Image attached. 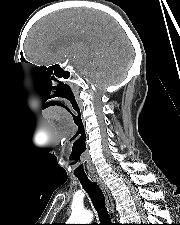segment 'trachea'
<instances>
[{
    "label": "trachea",
    "instance_id": "trachea-1",
    "mask_svg": "<svg viewBox=\"0 0 180 225\" xmlns=\"http://www.w3.org/2000/svg\"><path fill=\"white\" fill-rule=\"evenodd\" d=\"M84 190L88 193L94 208L98 212L100 225H112L111 218L105 207L104 194L96 182H91L86 175L77 176Z\"/></svg>",
    "mask_w": 180,
    "mask_h": 225
}]
</instances>
